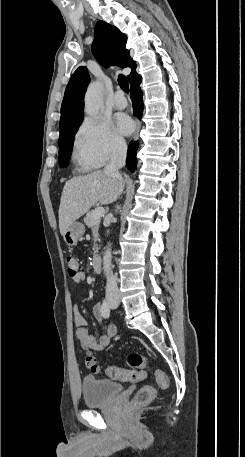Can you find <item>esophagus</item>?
Returning <instances> with one entry per match:
<instances>
[{
    "mask_svg": "<svg viewBox=\"0 0 245 457\" xmlns=\"http://www.w3.org/2000/svg\"><path fill=\"white\" fill-rule=\"evenodd\" d=\"M139 130H140V122H139L138 119H136V130H135V133L133 135L134 140H136L138 138Z\"/></svg>",
    "mask_w": 245,
    "mask_h": 457,
    "instance_id": "34e87169",
    "label": "esophagus"
}]
</instances>
